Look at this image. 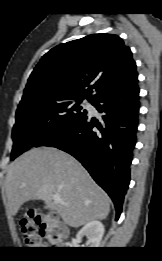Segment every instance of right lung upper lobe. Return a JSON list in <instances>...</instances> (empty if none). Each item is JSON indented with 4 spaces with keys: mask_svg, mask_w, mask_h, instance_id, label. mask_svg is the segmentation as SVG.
Masks as SVG:
<instances>
[{
    "mask_svg": "<svg viewBox=\"0 0 162 261\" xmlns=\"http://www.w3.org/2000/svg\"><path fill=\"white\" fill-rule=\"evenodd\" d=\"M137 81L136 63L123 40L113 34H94L46 53L30 75L21 102L52 95L95 100L134 87Z\"/></svg>",
    "mask_w": 162,
    "mask_h": 261,
    "instance_id": "cb5924a9",
    "label": "right lung upper lobe"
}]
</instances>
